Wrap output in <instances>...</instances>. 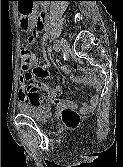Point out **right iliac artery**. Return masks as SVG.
Segmentation results:
<instances>
[{
    "instance_id": "82829eb1",
    "label": "right iliac artery",
    "mask_w": 123,
    "mask_h": 167,
    "mask_svg": "<svg viewBox=\"0 0 123 167\" xmlns=\"http://www.w3.org/2000/svg\"><path fill=\"white\" fill-rule=\"evenodd\" d=\"M53 49H54L56 52L60 51V45L54 44V45H53Z\"/></svg>"
}]
</instances>
